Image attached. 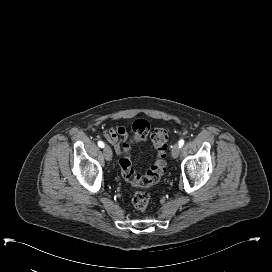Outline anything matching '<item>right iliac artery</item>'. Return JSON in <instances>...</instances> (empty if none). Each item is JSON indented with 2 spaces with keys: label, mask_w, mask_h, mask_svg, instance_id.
Returning <instances> with one entry per match:
<instances>
[{
  "label": "right iliac artery",
  "mask_w": 272,
  "mask_h": 272,
  "mask_svg": "<svg viewBox=\"0 0 272 272\" xmlns=\"http://www.w3.org/2000/svg\"><path fill=\"white\" fill-rule=\"evenodd\" d=\"M98 146L101 147V148H103V147L105 146V144H104V142L99 141V142H98Z\"/></svg>",
  "instance_id": "right-iliac-artery-1"
}]
</instances>
